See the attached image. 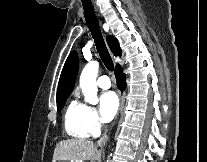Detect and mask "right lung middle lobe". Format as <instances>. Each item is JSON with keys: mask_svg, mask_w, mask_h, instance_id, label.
<instances>
[{"mask_svg": "<svg viewBox=\"0 0 207 162\" xmlns=\"http://www.w3.org/2000/svg\"><path fill=\"white\" fill-rule=\"evenodd\" d=\"M66 99H67V97H64V98H61V99H58L57 100V108H58V111H60L63 108Z\"/></svg>", "mask_w": 207, "mask_h": 162, "instance_id": "obj_1", "label": "right lung middle lobe"}]
</instances>
